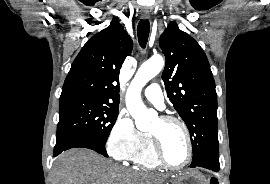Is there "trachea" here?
<instances>
[{"mask_svg": "<svg viewBox=\"0 0 270 184\" xmlns=\"http://www.w3.org/2000/svg\"><path fill=\"white\" fill-rule=\"evenodd\" d=\"M150 31V23L148 20H140L137 27V36L139 44L142 48H145Z\"/></svg>", "mask_w": 270, "mask_h": 184, "instance_id": "3493384b", "label": "trachea"}]
</instances>
